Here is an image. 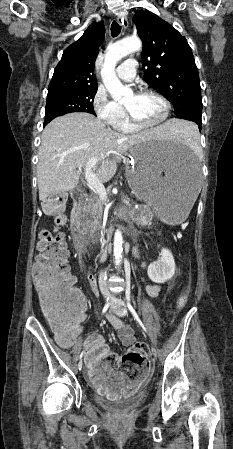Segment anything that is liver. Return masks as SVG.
Wrapping results in <instances>:
<instances>
[{
	"instance_id": "obj_1",
	"label": "liver",
	"mask_w": 233,
	"mask_h": 449,
	"mask_svg": "<svg viewBox=\"0 0 233 449\" xmlns=\"http://www.w3.org/2000/svg\"><path fill=\"white\" fill-rule=\"evenodd\" d=\"M179 120L137 134L124 135L108 128L89 113H70L57 117L44 129L38 152L37 179L39 199L66 193L79 183L76 168L92 157L100 158L97 177L109 181L117 163L128 149L138 143L168 142L178 134Z\"/></svg>"
}]
</instances>
